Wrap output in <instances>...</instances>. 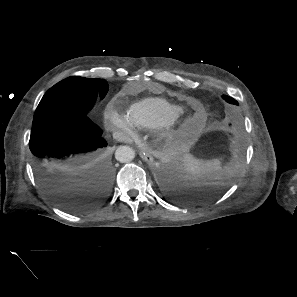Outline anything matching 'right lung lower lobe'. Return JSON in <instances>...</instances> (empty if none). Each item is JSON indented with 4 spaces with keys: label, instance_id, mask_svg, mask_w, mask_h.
Returning <instances> with one entry per match:
<instances>
[{
    "label": "right lung lower lobe",
    "instance_id": "98d812e1",
    "mask_svg": "<svg viewBox=\"0 0 297 297\" xmlns=\"http://www.w3.org/2000/svg\"><path fill=\"white\" fill-rule=\"evenodd\" d=\"M102 130L85 114L54 116L32 127L29 147L37 180L60 208L81 213L109 196L113 166Z\"/></svg>",
    "mask_w": 297,
    "mask_h": 297
}]
</instances>
